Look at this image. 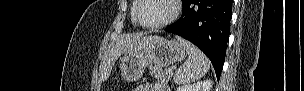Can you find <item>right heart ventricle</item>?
I'll return each mask as SVG.
<instances>
[{"label": "right heart ventricle", "mask_w": 304, "mask_h": 91, "mask_svg": "<svg viewBox=\"0 0 304 91\" xmlns=\"http://www.w3.org/2000/svg\"><path fill=\"white\" fill-rule=\"evenodd\" d=\"M133 12H134V10H132V22H133V24H135V20L133 18Z\"/></svg>", "instance_id": "obj_1"}]
</instances>
